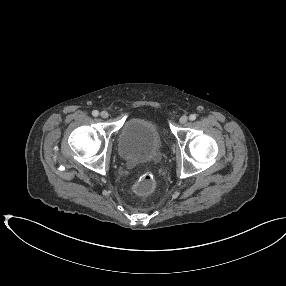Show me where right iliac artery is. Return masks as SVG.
Instances as JSON below:
<instances>
[{
  "label": "right iliac artery",
  "instance_id": "82829eb1",
  "mask_svg": "<svg viewBox=\"0 0 286 286\" xmlns=\"http://www.w3.org/2000/svg\"><path fill=\"white\" fill-rule=\"evenodd\" d=\"M92 115L95 116V117H97V116L99 115V112H98L97 110H94V111L92 112Z\"/></svg>",
  "mask_w": 286,
  "mask_h": 286
}]
</instances>
